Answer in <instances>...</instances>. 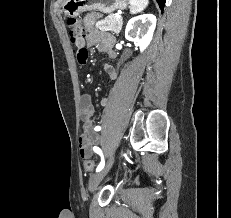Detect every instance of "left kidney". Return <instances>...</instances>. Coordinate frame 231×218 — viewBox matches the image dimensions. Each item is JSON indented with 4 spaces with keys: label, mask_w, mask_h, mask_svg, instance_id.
Segmentation results:
<instances>
[{
    "label": "left kidney",
    "mask_w": 231,
    "mask_h": 218,
    "mask_svg": "<svg viewBox=\"0 0 231 218\" xmlns=\"http://www.w3.org/2000/svg\"><path fill=\"white\" fill-rule=\"evenodd\" d=\"M156 27L153 14H142L131 18L125 29V38L134 41L143 52L150 44Z\"/></svg>",
    "instance_id": "obj_1"
}]
</instances>
